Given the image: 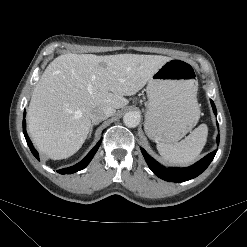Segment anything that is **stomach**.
Segmentation results:
<instances>
[{"label":"stomach","mask_w":247,"mask_h":247,"mask_svg":"<svg viewBox=\"0 0 247 247\" xmlns=\"http://www.w3.org/2000/svg\"><path fill=\"white\" fill-rule=\"evenodd\" d=\"M192 66L182 59L164 63L148 81L144 129L157 143H175L197 124V85Z\"/></svg>","instance_id":"0dacf381"}]
</instances>
